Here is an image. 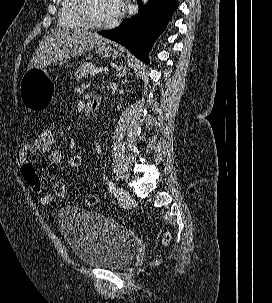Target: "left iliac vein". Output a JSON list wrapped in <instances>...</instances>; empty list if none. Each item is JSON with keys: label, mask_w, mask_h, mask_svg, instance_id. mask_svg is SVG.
<instances>
[{"label": "left iliac vein", "mask_w": 272, "mask_h": 303, "mask_svg": "<svg viewBox=\"0 0 272 303\" xmlns=\"http://www.w3.org/2000/svg\"><path fill=\"white\" fill-rule=\"evenodd\" d=\"M116 193L119 199L124 203H128L131 199L130 193L123 188H117Z\"/></svg>", "instance_id": "obj_1"}]
</instances>
